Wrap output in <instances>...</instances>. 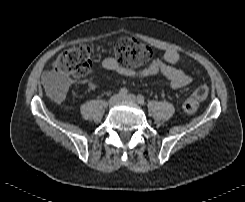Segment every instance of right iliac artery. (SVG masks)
<instances>
[{"instance_id": "82829eb1", "label": "right iliac artery", "mask_w": 245, "mask_h": 202, "mask_svg": "<svg viewBox=\"0 0 245 202\" xmlns=\"http://www.w3.org/2000/svg\"><path fill=\"white\" fill-rule=\"evenodd\" d=\"M127 93H128V90H127V88H125V87H123V88H121V89L119 90V95H120V96H125V95H127Z\"/></svg>"}]
</instances>
